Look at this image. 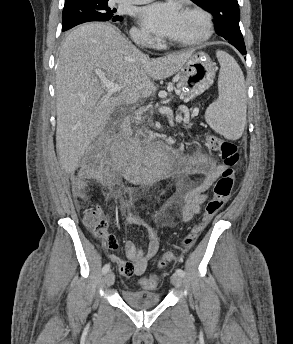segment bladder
I'll list each match as a JSON object with an SVG mask.
<instances>
[{"label":"bladder","instance_id":"bladder-1","mask_svg":"<svg viewBox=\"0 0 293 344\" xmlns=\"http://www.w3.org/2000/svg\"><path fill=\"white\" fill-rule=\"evenodd\" d=\"M123 300L136 309L156 307L161 303L162 297L158 292L122 289Z\"/></svg>","mask_w":293,"mask_h":344}]
</instances>
